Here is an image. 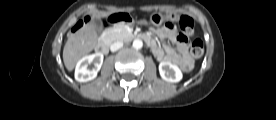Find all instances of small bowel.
<instances>
[{"instance_id":"1","label":"small bowel","mask_w":276,"mask_h":120,"mask_svg":"<svg viewBox=\"0 0 276 120\" xmlns=\"http://www.w3.org/2000/svg\"><path fill=\"white\" fill-rule=\"evenodd\" d=\"M157 36L162 40H170L176 48L169 45L161 46L153 38L151 33H145L149 37V47L159 61H169L177 64L184 72L193 67V60L188 52V40L179 34L174 28L165 26L155 30Z\"/></svg>"}]
</instances>
